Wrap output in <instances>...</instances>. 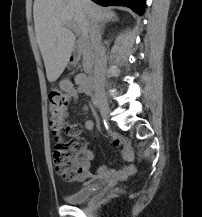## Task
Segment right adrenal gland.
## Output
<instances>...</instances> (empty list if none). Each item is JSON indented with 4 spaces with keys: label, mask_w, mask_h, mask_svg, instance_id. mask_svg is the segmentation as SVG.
I'll use <instances>...</instances> for the list:
<instances>
[{
    "label": "right adrenal gland",
    "mask_w": 202,
    "mask_h": 217,
    "mask_svg": "<svg viewBox=\"0 0 202 217\" xmlns=\"http://www.w3.org/2000/svg\"><path fill=\"white\" fill-rule=\"evenodd\" d=\"M115 21H118L117 17H114L112 19H109V20H106V21H102L100 22V28L102 30V33L104 32V28H105V25L109 22H115Z\"/></svg>",
    "instance_id": "2a0ac1e0"
}]
</instances>
